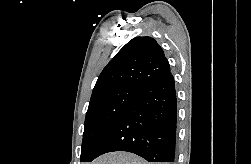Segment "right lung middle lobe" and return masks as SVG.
Here are the masks:
<instances>
[{"label": "right lung middle lobe", "instance_id": "dd1d6c3e", "mask_svg": "<svg viewBox=\"0 0 251 164\" xmlns=\"http://www.w3.org/2000/svg\"><path fill=\"white\" fill-rule=\"evenodd\" d=\"M140 89L122 87L91 99L84 124L81 162L91 154L97 142L118 117L138 98Z\"/></svg>", "mask_w": 251, "mask_h": 164}]
</instances>
